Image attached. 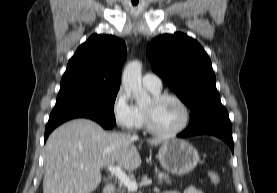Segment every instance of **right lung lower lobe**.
<instances>
[{
  "label": "right lung lower lobe",
  "mask_w": 277,
  "mask_h": 193,
  "mask_svg": "<svg viewBox=\"0 0 277 193\" xmlns=\"http://www.w3.org/2000/svg\"><path fill=\"white\" fill-rule=\"evenodd\" d=\"M74 118H89L98 122L103 128L111 129L115 125L108 120L87 111H80L74 109H53L49 121L45 129V141L53 129L62 124L63 122Z\"/></svg>",
  "instance_id": "98d812e1"
}]
</instances>
